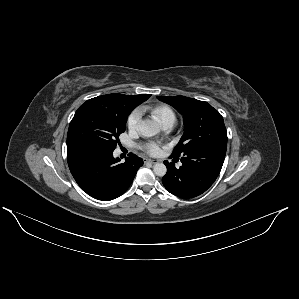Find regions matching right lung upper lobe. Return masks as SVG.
Instances as JSON below:
<instances>
[{
	"mask_svg": "<svg viewBox=\"0 0 299 299\" xmlns=\"http://www.w3.org/2000/svg\"><path fill=\"white\" fill-rule=\"evenodd\" d=\"M150 97V94L141 95H123V94H107L103 96H98L87 100L82 104L77 111H82L84 109L99 108L108 111L122 110L126 108L127 110H133L136 106L146 101ZM130 111V112H131ZM68 149V147H67Z\"/></svg>",
	"mask_w": 299,
	"mask_h": 299,
	"instance_id": "right-lung-upper-lobe-1",
	"label": "right lung upper lobe"
}]
</instances>
